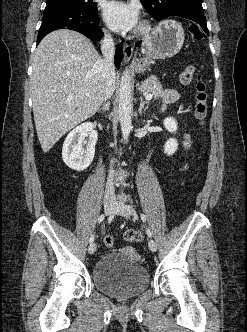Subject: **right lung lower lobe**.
Returning <instances> with one entry per match:
<instances>
[{
	"label": "right lung lower lobe",
	"instance_id": "1",
	"mask_svg": "<svg viewBox=\"0 0 247 332\" xmlns=\"http://www.w3.org/2000/svg\"><path fill=\"white\" fill-rule=\"evenodd\" d=\"M98 10L87 12L82 9L60 7L45 9L42 24L40 26L37 45L48 33L58 29H69L84 34L91 40L97 41L103 37L99 29ZM123 58L122 46L118 45L115 54V64L119 68Z\"/></svg>",
	"mask_w": 247,
	"mask_h": 332
}]
</instances>
